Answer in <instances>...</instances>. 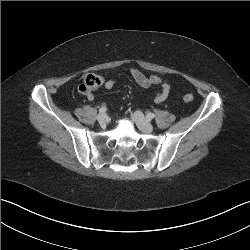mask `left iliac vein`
<instances>
[{
    "label": "left iliac vein",
    "instance_id": "4c4485c4",
    "mask_svg": "<svg viewBox=\"0 0 250 250\" xmlns=\"http://www.w3.org/2000/svg\"><path fill=\"white\" fill-rule=\"evenodd\" d=\"M132 118L141 131L145 133H151L153 131V125L145 118L142 112L135 111L132 114Z\"/></svg>",
    "mask_w": 250,
    "mask_h": 250
}]
</instances>
